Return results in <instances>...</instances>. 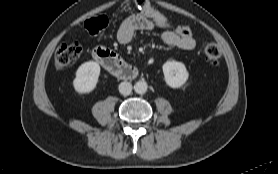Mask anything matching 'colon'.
<instances>
[{
    "label": "colon",
    "mask_w": 278,
    "mask_h": 174,
    "mask_svg": "<svg viewBox=\"0 0 278 174\" xmlns=\"http://www.w3.org/2000/svg\"><path fill=\"white\" fill-rule=\"evenodd\" d=\"M136 6L148 17H150L156 26L170 30L183 38L193 37L191 28L185 24L176 25L172 23L165 15L152 8L147 0H134ZM108 25V18L104 15L88 19L84 26L92 34H96ZM204 57L207 62L217 64L222 55L218 44L209 42L204 47ZM82 53V48L78 43H63L55 53L54 63L57 69H65Z\"/></svg>",
    "instance_id": "colon-1"
}]
</instances>
